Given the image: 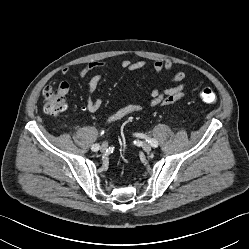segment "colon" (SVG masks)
I'll use <instances>...</instances> for the list:
<instances>
[{
	"label": "colon",
	"instance_id": "5ec220e1",
	"mask_svg": "<svg viewBox=\"0 0 249 249\" xmlns=\"http://www.w3.org/2000/svg\"><path fill=\"white\" fill-rule=\"evenodd\" d=\"M44 111L49 115H57L65 111L67 105L64 97L53 91L52 88L44 90ZM200 98L207 104H214L217 101L215 92L210 88H202Z\"/></svg>",
	"mask_w": 249,
	"mask_h": 249
}]
</instances>
